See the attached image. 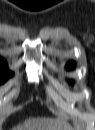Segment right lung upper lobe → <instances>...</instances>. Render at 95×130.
<instances>
[{"mask_svg":"<svg viewBox=\"0 0 95 130\" xmlns=\"http://www.w3.org/2000/svg\"><path fill=\"white\" fill-rule=\"evenodd\" d=\"M0 69H1V71H8L7 64L4 59L0 60Z\"/></svg>","mask_w":95,"mask_h":130,"instance_id":"right-lung-upper-lobe-1","label":"right lung upper lobe"}]
</instances>
